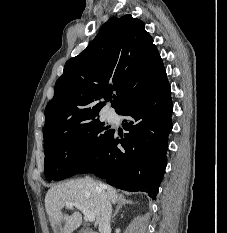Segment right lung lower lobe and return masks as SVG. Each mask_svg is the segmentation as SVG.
<instances>
[{"mask_svg":"<svg viewBox=\"0 0 227 233\" xmlns=\"http://www.w3.org/2000/svg\"><path fill=\"white\" fill-rule=\"evenodd\" d=\"M172 110L166 79L118 113L130 116L123 124L128 133L112 130L97 157L79 173H94L112 186L147 192L155 199L166 168ZM119 144L122 148L117 147Z\"/></svg>","mask_w":227,"mask_h":233,"instance_id":"obj_1","label":"right lung lower lobe"}]
</instances>
